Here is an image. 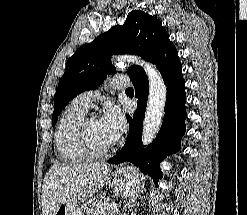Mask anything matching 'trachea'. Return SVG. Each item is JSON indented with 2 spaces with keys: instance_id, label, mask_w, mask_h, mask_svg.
I'll list each match as a JSON object with an SVG mask.
<instances>
[{
  "instance_id": "3493384b",
  "label": "trachea",
  "mask_w": 247,
  "mask_h": 215,
  "mask_svg": "<svg viewBox=\"0 0 247 215\" xmlns=\"http://www.w3.org/2000/svg\"><path fill=\"white\" fill-rule=\"evenodd\" d=\"M126 91H133V88L129 87V88L126 89Z\"/></svg>"
}]
</instances>
